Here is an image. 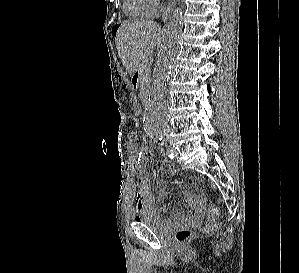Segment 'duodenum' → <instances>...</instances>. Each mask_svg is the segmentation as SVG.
Masks as SVG:
<instances>
[{"instance_id": "duodenum-1", "label": "duodenum", "mask_w": 299, "mask_h": 273, "mask_svg": "<svg viewBox=\"0 0 299 273\" xmlns=\"http://www.w3.org/2000/svg\"><path fill=\"white\" fill-rule=\"evenodd\" d=\"M133 80H137V75L135 74L134 76H133Z\"/></svg>"}]
</instances>
